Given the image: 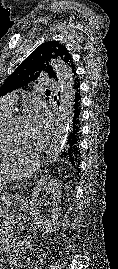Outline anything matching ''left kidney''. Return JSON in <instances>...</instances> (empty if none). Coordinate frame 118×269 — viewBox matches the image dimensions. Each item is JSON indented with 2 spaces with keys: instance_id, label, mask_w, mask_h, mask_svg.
Here are the masks:
<instances>
[{
  "instance_id": "obj_1",
  "label": "left kidney",
  "mask_w": 118,
  "mask_h": 269,
  "mask_svg": "<svg viewBox=\"0 0 118 269\" xmlns=\"http://www.w3.org/2000/svg\"><path fill=\"white\" fill-rule=\"evenodd\" d=\"M42 191H46L51 194L52 208L50 212V219L42 218L38 209V196ZM60 198V185L56 179L50 176H45L37 182L31 195L30 215L41 231L45 233H51L54 231L55 226L57 225V220L61 215Z\"/></svg>"
}]
</instances>
